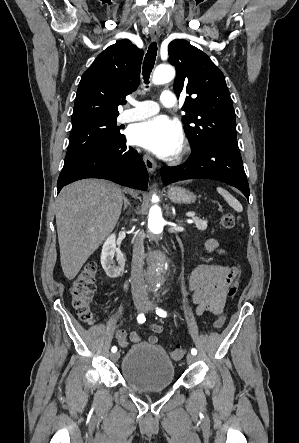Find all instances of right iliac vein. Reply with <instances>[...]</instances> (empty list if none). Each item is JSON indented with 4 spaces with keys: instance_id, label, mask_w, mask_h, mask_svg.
<instances>
[{
    "instance_id": "1",
    "label": "right iliac vein",
    "mask_w": 299,
    "mask_h": 443,
    "mask_svg": "<svg viewBox=\"0 0 299 443\" xmlns=\"http://www.w3.org/2000/svg\"><path fill=\"white\" fill-rule=\"evenodd\" d=\"M136 307H137L138 310H143L144 309V305L141 302H137L136 303ZM119 356H120V354L118 352L117 353H113L111 355V359L113 361H117L119 359Z\"/></svg>"
}]
</instances>
